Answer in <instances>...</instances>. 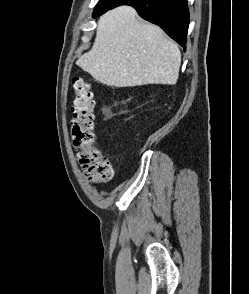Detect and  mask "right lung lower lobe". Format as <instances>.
<instances>
[{"label": "right lung lower lobe", "mask_w": 249, "mask_h": 294, "mask_svg": "<svg viewBox=\"0 0 249 294\" xmlns=\"http://www.w3.org/2000/svg\"><path fill=\"white\" fill-rule=\"evenodd\" d=\"M120 5L133 6L142 18L160 26L179 45L185 47L189 26L187 0H121L93 17Z\"/></svg>", "instance_id": "obj_1"}]
</instances>
